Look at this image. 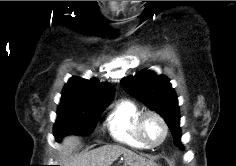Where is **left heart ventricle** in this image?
I'll return each instance as SVG.
<instances>
[{
	"mask_svg": "<svg viewBox=\"0 0 236 166\" xmlns=\"http://www.w3.org/2000/svg\"><path fill=\"white\" fill-rule=\"evenodd\" d=\"M143 134L148 142L155 144L163 137V127L153 116H148L143 123Z\"/></svg>",
	"mask_w": 236,
	"mask_h": 166,
	"instance_id": "left-heart-ventricle-1",
	"label": "left heart ventricle"
}]
</instances>
